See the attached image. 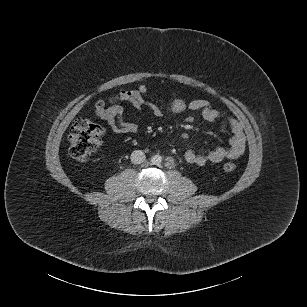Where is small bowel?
Listing matches in <instances>:
<instances>
[{
	"instance_id": "c3829d8e",
	"label": "small bowel",
	"mask_w": 307,
	"mask_h": 307,
	"mask_svg": "<svg viewBox=\"0 0 307 307\" xmlns=\"http://www.w3.org/2000/svg\"><path fill=\"white\" fill-rule=\"evenodd\" d=\"M148 92L149 88L146 85H141L133 90H122L109 97L108 102L110 105L107 108L96 110V113L113 132L132 134L137 131L138 127L135 123L124 119V108L116 103L117 100L128 102L136 110L146 108L154 117H161L164 113L176 115L186 110L196 111L210 123L224 122L231 132V138L227 147L217 146L204 152H197L193 149L186 150L184 158L189 164L203 166L208 162L219 163L224 160L237 159L244 153L246 137L240 122L223 110L215 108L208 100L193 99L187 101L177 98L163 110L159 106L144 100V95Z\"/></svg>"
}]
</instances>
